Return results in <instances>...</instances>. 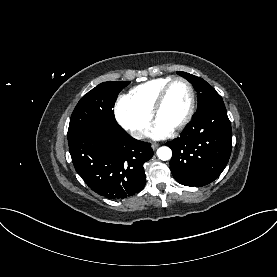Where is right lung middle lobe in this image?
<instances>
[{"mask_svg":"<svg viewBox=\"0 0 277 277\" xmlns=\"http://www.w3.org/2000/svg\"><path fill=\"white\" fill-rule=\"evenodd\" d=\"M130 81L103 82L85 94L76 105L68 128V144L96 127L121 128L116 122L115 101Z\"/></svg>","mask_w":277,"mask_h":277,"instance_id":"obj_1","label":"right lung middle lobe"}]
</instances>
